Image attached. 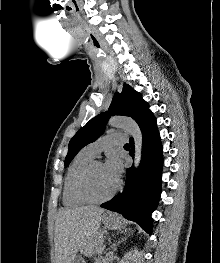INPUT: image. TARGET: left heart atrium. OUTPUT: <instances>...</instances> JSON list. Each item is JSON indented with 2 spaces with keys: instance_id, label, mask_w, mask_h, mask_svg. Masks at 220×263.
<instances>
[{
  "instance_id": "obj_1",
  "label": "left heart atrium",
  "mask_w": 220,
  "mask_h": 263,
  "mask_svg": "<svg viewBox=\"0 0 220 263\" xmlns=\"http://www.w3.org/2000/svg\"><path fill=\"white\" fill-rule=\"evenodd\" d=\"M104 165L109 175L115 181H118L122 173V162L119 156L116 154L110 155Z\"/></svg>"
}]
</instances>
